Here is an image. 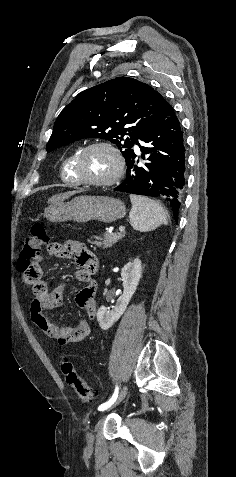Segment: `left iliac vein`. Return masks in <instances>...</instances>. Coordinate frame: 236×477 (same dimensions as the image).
<instances>
[{"mask_svg": "<svg viewBox=\"0 0 236 477\" xmlns=\"http://www.w3.org/2000/svg\"><path fill=\"white\" fill-rule=\"evenodd\" d=\"M127 392H128V387L127 386H123V388L121 389L120 391V394L118 396V398L116 399L115 402L111 403L108 407L104 408V410H100V415L101 417H106L107 414H111L113 412V410H115L116 407H118V403H120L127 395ZM93 440H94V437L91 433H88L87 434V442H88V446H92L93 444Z\"/></svg>", "mask_w": 236, "mask_h": 477, "instance_id": "obj_1", "label": "left iliac vein"}]
</instances>
